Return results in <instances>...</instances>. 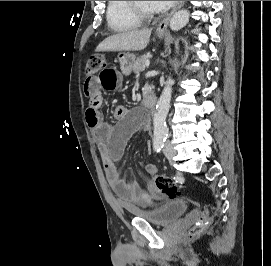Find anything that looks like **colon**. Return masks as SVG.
I'll use <instances>...</instances> for the list:
<instances>
[{
    "label": "colon",
    "instance_id": "5ec220e1",
    "mask_svg": "<svg viewBox=\"0 0 271 266\" xmlns=\"http://www.w3.org/2000/svg\"><path fill=\"white\" fill-rule=\"evenodd\" d=\"M106 60L102 55H93L89 58L86 65V74L94 75L101 68L106 65ZM152 185L159 193L168 196L169 198H176L180 195L179 187L172 179L167 176L155 174L152 177ZM210 213L208 210L203 211L199 217L196 225L189 231V238H196L203 234L210 224Z\"/></svg>",
    "mask_w": 271,
    "mask_h": 266
}]
</instances>
